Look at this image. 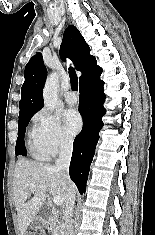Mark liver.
Here are the masks:
<instances>
[{
  "label": "liver",
  "mask_w": 155,
  "mask_h": 235,
  "mask_svg": "<svg viewBox=\"0 0 155 235\" xmlns=\"http://www.w3.org/2000/svg\"><path fill=\"white\" fill-rule=\"evenodd\" d=\"M34 183L49 188V193L60 196L66 202L68 190L76 191L73 182L62 171L48 163H39L21 158L17 161L13 178V198L17 211L20 235H25L48 193L39 187L30 188ZM32 194V197H31Z\"/></svg>",
  "instance_id": "liver-1"
}]
</instances>
